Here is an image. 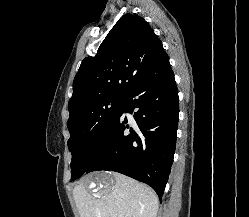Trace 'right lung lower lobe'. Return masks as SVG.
I'll list each match as a JSON object with an SVG mask.
<instances>
[{
	"instance_id": "98d812e1",
	"label": "right lung lower lobe",
	"mask_w": 249,
	"mask_h": 217,
	"mask_svg": "<svg viewBox=\"0 0 249 217\" xmlns=\"http://www.w3.org/2000/svg\"><path fill=\"white\" fill-rule=\"evenodd\" d=\"M178 102L165 53L125 96L119 115L86 157L83 172L122 173L151 186L161 200L175 152ZM124 112L133 113L134 120L124 118Z\"/></svg>"
}]
</instances>
